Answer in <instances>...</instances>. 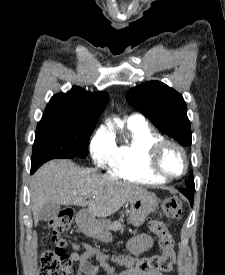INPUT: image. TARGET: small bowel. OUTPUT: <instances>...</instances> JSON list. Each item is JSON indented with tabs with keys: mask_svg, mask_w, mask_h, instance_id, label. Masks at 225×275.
Returning <instances> with one entry per match:
<instances>
[{
	"mask_svg": "<svg viewBox=\"0 0 225 275\" xmlns=\"http://www.w3.org/2000/svg\"><path fill=\"white\" fill-rule=\"evenodd\" d=\"M154 245L152 237L146 233L133 237L128 243V249L132 254H141L151 249ZM83 252L80 253L79 250ZM70 258L77 264L78 275H97L102 271L105 275H163L161 272L149 271L141 272L136 270H126L117 272L107 260V255L84 243H73ZM95 261V264L93 263Z\"/></svg>",
	"mask_w": 225,
	"mask_h": 275,
	"instance_id": "1",
	"label": "small bowel"
}]
</instances>
